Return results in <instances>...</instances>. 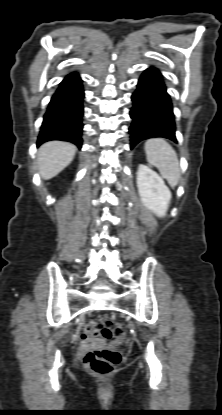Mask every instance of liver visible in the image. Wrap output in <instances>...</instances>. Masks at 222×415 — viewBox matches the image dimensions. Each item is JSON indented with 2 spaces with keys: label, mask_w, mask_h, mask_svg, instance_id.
<instances>
[{
  "label": "liver",
  "mask_w": 222,
  "mask_h": 415,
  "mask_svg": "<svg viewBox=\"0 0 222 415\" xmlns=\"http://www.w3.org/2000/svg\"><path fill=\"white\" fill-rule=\"evenodd\" d=\"M76 153L75 145L64 141H50L39 148L38 170L43 179H51L67 167Z\"/></svg>",
  "instance_id": "obj_1"
}]
</instances>
